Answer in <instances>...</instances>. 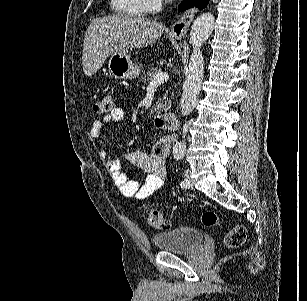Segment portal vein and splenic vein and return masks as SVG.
<instances>
[{
    "instance_id": "18ae733b",
    "label": "portal vein and splenic vein",
    "mask_w": 307,
    "mask_h": 301,
    "mask_svg": "<svg viewBox=\"0 0 307 301\" xmlns=\"http://www.w3.org/2000/svg\"><path fill=\"white\" fill-rule=\"evenodd\" d=\"M168 78V72H157L156 76H154L153 80L149 82L148 86H158V84H161V82H166Z\"/></svg>"
}]
</instances>
